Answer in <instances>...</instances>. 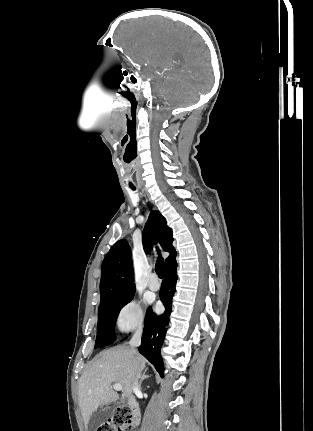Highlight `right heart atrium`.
Here are the masks:
<instances>
[{
  "mask_svg": "<svg viewBox=\"0 0 313 431\" xmlns=\"http://www.w3.org/2000/svg\"><path fill=\"white\" fill-rule=\"evenodd\" d=\"M145 313L140 301L132 299L124 304L117 315V326L122 331L139 329L144 325Z\"/></svg>",
  "mask_w": 313,
  "mask_h": 431,
  "instance_id": "d8ad5b80",
  "label": "right heart atrium"
}]
</instances>
